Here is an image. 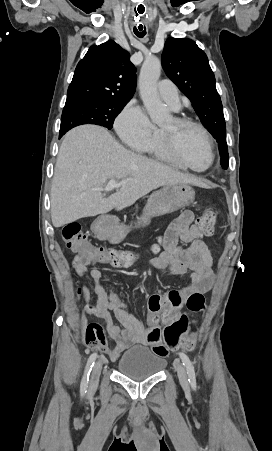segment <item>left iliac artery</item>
Wrapping results in <instances>:
<instances>
[{
	"label": "left iliac artery",
	"instance_id": "44dca946",
	"mask_svg": "<svg viewBox=\"0 0 272 451\" xmlns=\"http://www.w3.org/2000/svg\"><path fill=\"white\" fill-rule=\"evenodd\" d=\"M180 358L183 362L184 367L186 368V371L188 374V381H189L192 389L196 390L197 385H196V375H195L194 366L186 354L180 353Z\"/></svg>",
	"mask_w": 272,
	"mask_h": 451
}]
</instances>
